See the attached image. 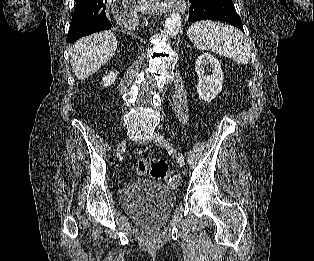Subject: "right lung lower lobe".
I'll return each mask as SVG.
<instances>
[{
  "label": "right lung lower lobe",
  "instance_id": "obj_1",
  "mask_svg": "<svg viewBox=\"0 0 314 261\" xmlns=\"http://www.w3.org/2000/svg\"><path fill=\"white\" fill-rule=\"evenodd\" d=\"M107 0H76V9L72 16L67 42L111 28L106 17Z\"/></svg>",
  "mask_w": 314,
  "mask_h": 261
}]
</instances>
